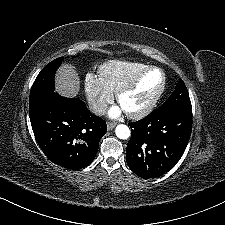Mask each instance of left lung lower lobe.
<instances>
[{"mask_svg": "<svg viewBox=\"0 0 225 225\" xmlns=\"http://www.w3.org/2000/svg\"><path fill=\"white\" fill-rule=\"evenodd\" d=\"M129 126V168L144 179L159 177L176 165L186 149L192 130V109L159 107Z\"/></svg>", "mask_w": 225, "mask_h": 225, "instance_id": "0a47b994", "label": "left lung lower lobe"}]
</instances>
